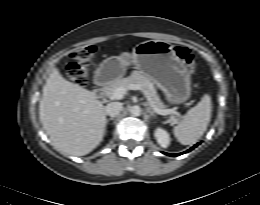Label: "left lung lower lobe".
I'll use <instances>...</instances> for the list:
<instances>
[{"label": "left lung lower lobe", "mask_w": 260, "mask_h": 205, "mask_svg": "<svg viewBox=\"0 0 260 205\" xmlns=\"http://www.w3.org/2000/svg\"><path fill=\"white\" fill-rule=\"evenodd\" d=\"M197 145H195L194 147H196ZM193 148H191L190 150H192ZM190 150H187V151H185V152H183V153H187V152H189ZM183 153H179V154H168V153H165L166 155H168V156H179V155H181V154H183Z\"/></svg>", "instance_id": "1"}]
</instances>
